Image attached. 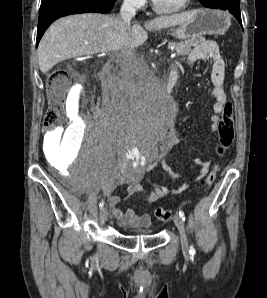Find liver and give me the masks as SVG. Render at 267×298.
Instances as JSON below:
<instances>
[{
	"label": "liver",
	"mask_w": 267,
	"mask_h": 298,
	"mask_svg": "<svg viewBox=\"0 0 267 298\" xmlns=\"http://www.w3.org/2000/svg\"><path fill=\"white\" fill-rule=\"evenodd\" d=\"M192 17L191 12L155 18L144 24L149 31L180 25ZM121 19L97 13L77 14L55 21L38 46V63L42 73L57 63L80 56L115 52L128 45H142L148 38L139 24L121 30ZM128 30V31H127Z\"/></svg>",
	"instance_id": "1"
}]
</instances>
